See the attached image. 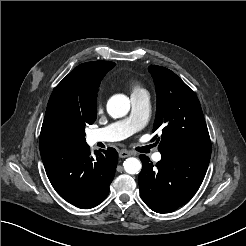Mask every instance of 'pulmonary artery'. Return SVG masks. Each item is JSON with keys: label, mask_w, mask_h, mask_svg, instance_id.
<instances>
[{"label": "pulmonary artery", "mask_w": 246, "mask_h": 246, "mask_svg": "<svg viewBox=\"0 0 246 246\" xmlns=\"http://www.w3.org/2000/svg\"><path fill=\"white\" fill-rule=\"evenodd\" d=\"M132 110L129 117L112 123L107 127L96 129L90 132L91 143L114 142L123 140L142 129L150 117V100L146 92L131 95ZM159 152L153 155V160H161Z\"/></svg>", "instance_id": "obj_1"}]
</instances>
